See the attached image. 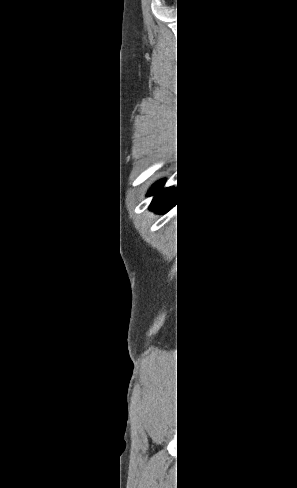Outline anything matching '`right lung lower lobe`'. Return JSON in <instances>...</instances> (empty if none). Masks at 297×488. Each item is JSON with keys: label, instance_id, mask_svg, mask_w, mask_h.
I'll list each match as a JSON object with an SVG mask.
<instances>
[{"label": "right lung lower lobe", "instance_id": "right-lung-lower-lobe-1", "mask_svg": "<svg viewBox=\"0 0 297 488\" xmlns=\"http://www.w3.org/2000/svg\"><path fill=\"white\" fill-rule=\"evenodd\" d=\"M165 183V179L158 181L151 187V189L147 193L148 196H153L152 203L149 207L150 210L155 211L159 214L171 211L175 204V189L173 185L165 187ZM178 185L179 181L177 182V187Z\"/></svg>", "mask_w": 297, "mask_h": 488}]
</instances>
